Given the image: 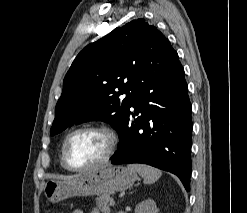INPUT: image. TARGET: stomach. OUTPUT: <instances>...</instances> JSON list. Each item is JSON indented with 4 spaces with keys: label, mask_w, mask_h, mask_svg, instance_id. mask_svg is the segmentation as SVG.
Instances as JSON below:
<instances>
[{
    "label": "stomach",
    "mask_w": 247,
    "mask_h": 213,
    "mask_svg": "<svg viewBox=\"0 0 247 213\" xmlns=\"http://www.w3.org/2000/svg\"><path fill=\"white\" fill-rule=\"evenodd\" d=\"M137 180L134 171L123 166H108L73 176L64 181L49 180L44 195L52 203L74 196H93L122 191Z\"/></svg>",
    "instance_id": "obj_1"
}]
</instances>
